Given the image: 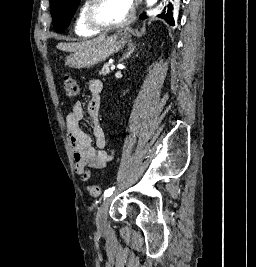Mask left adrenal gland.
I'll return each instance as SVG.
<instances>
[{"label":"left adrenal gland","instance_id":"obj_1","mask_svg":"<svg viewBox=\"0 0 256 267\" xmlns=\"http://www.w3.org/2000/svg\"><path fill=\"white\" fill-rule=\"evenodd\" d=\"M128 48H127V52H125V54H123L122 58H120V62H123V60H125V58H129V56H131V54H133L136 46H134V44H132V42H130V44H127Z\"/></svg>","mask_w":256,"mask_h":267}]
</instances>
